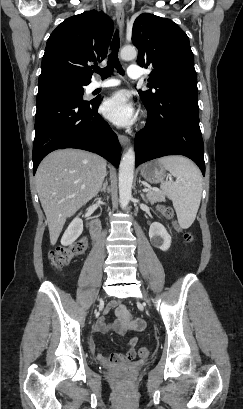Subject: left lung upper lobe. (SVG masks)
Listing matches in <instances>:
<instances>
[{"instance_id": "1", "label": "left lung upper lobe", "mask_w": 243, "mask_h": 409, "mask_svg": "<svg viewBox=\"0 0 243 409\" xmlns=\"http://www.w3.org/2000/svg\"><path fill=\"white\" fill-rule=\"evenodd\" d=\"M132 42L138 48V64L152 68L149 89L139 92L142 100L153 103L174 88L197 86L189 38L172 20L140 14L133 24Z\"/></svg>"}]
</instances>
